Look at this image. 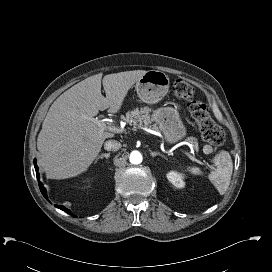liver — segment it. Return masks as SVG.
<instances>
[{
  "label": "liver",
  "instance_id": "obj_1",
  "mask_svg": "<svg viewBox=\"0 0 272 272\" xmlns=\"http://www.w3.org/2000/svg\"><path fill=\"white\" fill-rule=\"evenodd\" d=\"M145 70L96 74L72 86L51 105L38 135L39 164L47 178L65 179L85 172L114 132L101 130L99 110L117 113L129 89ZM101 79L106 97L101 94ZM112 126V125H110Z\"/></svg>",
  "mask_w": 272,
  "mask_h": 272
}]
</instances>
